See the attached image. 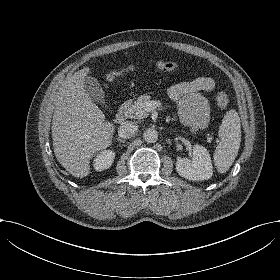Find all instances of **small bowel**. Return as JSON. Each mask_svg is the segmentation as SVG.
Here are the masks:
<instances>
[{
    "label": "small bowel",
    "mask_w": 280,
    "mask_h": 280,
    "mask_svg": "<svg viewBox=\"0 0 280 280\" xmlns=\"http://www.w3.org/2000/svg\"><path fill=\"white\" fill-rule=\"evenodd\" d=\"M215 86L213 78L202 76L172 85L168 89V96L177 104L184 125L194 128L208 122L209 104L202 92H210Z\"/></svg>",
    "instance_id": "c3829d8e"
}]
</instances>
